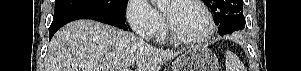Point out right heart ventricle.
Here are the masks:
<instances>
[{
    "instance_id": "1",
    "label": "right heart ventricle",
    "mask_w": 301,
    "mask_h": 71,
    "mask_svg": "<svg viewBox=\"0 0 301 71\" xmlns=\"http://www.w3.org/2000/svg\"><path fill=\"white\" fill-rule=\"evenodd\" d=\"M156 39L159 41H165L166 40V33L164 30H159L157 34L155 35Z\"/></svg>"
}]
</instances>
